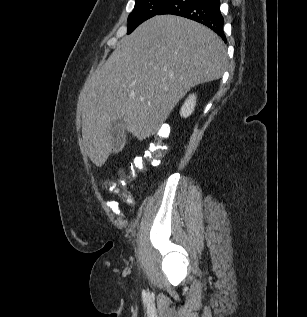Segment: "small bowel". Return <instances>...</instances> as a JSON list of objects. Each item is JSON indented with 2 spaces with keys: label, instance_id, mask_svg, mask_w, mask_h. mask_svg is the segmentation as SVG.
<instances>
[{
  "label": "small bowel",
  "instance_id": "c3829d8e",
  "mask_svg": "<svg viewBox=\"0 0 307 317\" xmlns=\"http://www.w3.org/2000/svg\"><path fill=\"white\" fill-rule=\"evenodd\" d=\"M125 200L127 202L131 201V197L128 193H125ZM107 207L112 211V213L114 215H116L118 218H124V214L121 210L120 204L119 202L115 201V200H108L106 202Z\"/></svg>",
  "mask_w": 307,
  "mask_h": 317
}]
</instances>
